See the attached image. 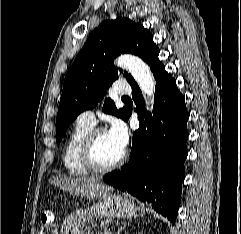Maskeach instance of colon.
<instances>
[{
  "label": "colon",
  "mask_w": 241,
  "mask_h": 234,
  "mask_svg": "<svg viewBox=\"0 0 241 234\" xmlns=\"http://www.w3.org/2000/svg\"><path fill=\"white\" fill-rule=\"evenodd\" d=\"M38 234H57L55 218L51 211L46 210L42 213Z\"/></svg>",
  "instance_id": "obj_1"
}]
</instances>
